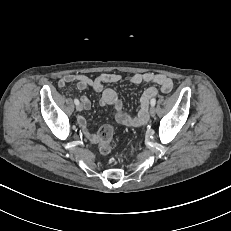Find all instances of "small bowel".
Returning a JSON list of instances; mask_svg holds the SVG:
<instances>
[{
    "label": "small bowel",
    "instance_id": "1",
    "mask_svg": "<svg viewBox=\"0 0 231 231\" xmlns=\"http://www.w3.org/2000/svg\"><path fill=\"white\" fill-rule=\"evenodd\" d=\"M122 80V76L117 73H102L95 78H89L82 74H67L63 76L58 86L63 89L68 83H74L79 90L91 88L94 92L101 94L100 104L102 106H109L114 109L115 120L122 126H140L147 121V107L151 98L158 94V89L155 86L148 87L142 94L140 99V110L135 117H131L123 111V104L118 98L113 89L105 88V84L117 83ZM132 84L150 83L157 85L161 92L168 93L171 91L173 83L172 80L163 74H155L152 72L136 73L129 77ZM81 101L85 109L91 107V101L86 96L81 97ZM79 125L84 130L87 139L93 144H99V135L91 134L87 130V123L84 118L78 120Z\"/></svg>",
    "mask_w": 231,
    "mask_h": 231
}]
</instances>
